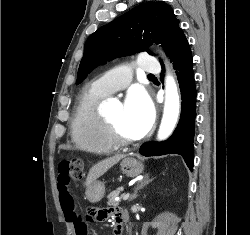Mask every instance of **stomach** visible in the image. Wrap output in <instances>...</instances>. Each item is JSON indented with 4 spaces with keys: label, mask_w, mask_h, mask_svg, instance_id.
Here are the masks:
<instances>
[{
    "label": "stomach",
    "mask_w": 250,
    "mask_h": 235,
    "mask_svg": "<svg viewBox=\"0 0 250 235\" xmlns=\"http://www.w3.org/2000/svg\"><path fill=\"white\" fill-rule=\"evenodd\" d=\"M122 172L128 177H136L144 170V166L138 160L128 157L122 160L120 163ZM105 194V186L100 181H94L88 186L86 196L92 203L99 202Z\"/></svg>",
    "instance_id": "0dacf381"
}]
</instances>
